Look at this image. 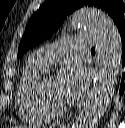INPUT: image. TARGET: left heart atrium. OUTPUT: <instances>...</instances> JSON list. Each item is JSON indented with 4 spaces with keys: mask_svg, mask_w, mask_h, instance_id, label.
<instances>
[{
    "mask_svg": "<svg viewBox=\"0 0 125 128\" xmlns=\"http://www.w3.org/2000/svg\"><path fill=\"white\" fill-rule=\"evenodd\" d=\"M88 84L89 77L77 62L67 63L57 78L60 96L66 103L77 101L86 91Z\"/></svg>",
    "mask_w": 125,
    "mask_h": 128,
    "instance_id": "39dd6f15",
    "label": "left heart atrium"
}]
</instances>
